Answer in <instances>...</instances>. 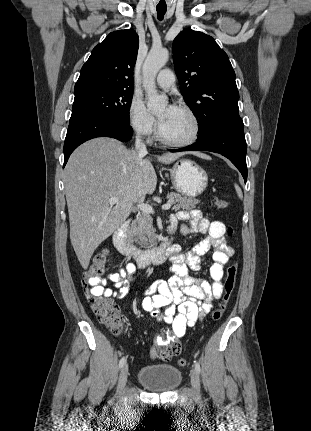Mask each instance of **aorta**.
I'll list each match as a JSON object with an SVG mask.
<instances>
[{"mask_svg":"<svg viewBox=\"0 0 311 431\" xmlns=\"http://www.w3.org/2000/svg\"><path fill=\"white\" fill-rule=\"evenodd\" d=\"M168 58L169 52L165 48H152L142 66L143 88L146 92L147 108L151 112H158L168 104L166 94H158L155 86V78L159 70L167 64Z\"/></svg>","mask_w":311,"mask_h":431,"instance_id":"762f6f07","label":"aorta"}]
</instances>
